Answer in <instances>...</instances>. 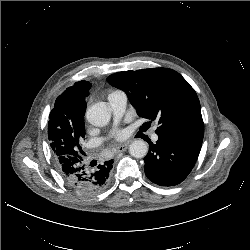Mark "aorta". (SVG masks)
<instances>
[{"instance_id":"obj_1","label":"aorta","mask_w":250,"mask_h":250,"mask_svg":"<svg viewBox=\"0 0 250 250\" xmlns=\"http://www.w3.org/2000/svg\"><path fill=\"white\" fill-rule=\"evenodd\" d=\"M111 117L109 106L105 102L91 105L86 111L88 122L94 126L106 125ZM148 152V145L143 140H135L129 147V153L135 158H143Z\"/></svg>"}]
</instances>
